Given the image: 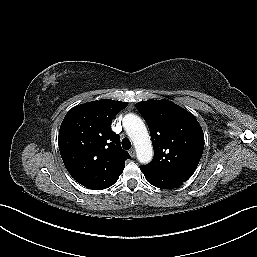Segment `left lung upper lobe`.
<instances>
[{"label": "left lung upper lobe", "mask_w": 257, "mask_h": 257, "mask_svg": "<svg viewBox=\"0 0 257 257\" xmlns=\"http://www.w3.org/2000/svg\"><path fill=\"white\" fill-rule=\"evenodd\" d=\"M154 148L153 160L140 167L147 175L168 174L189 179L204 149L203 130L195 116L168 100L139 102Z\"/></svg>", "instance_id": "left-lung-upper-lobe-1"}]
</instances>
